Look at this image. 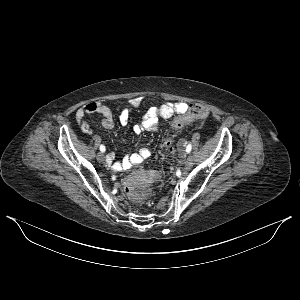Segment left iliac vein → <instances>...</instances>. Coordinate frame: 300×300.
Returning a JSON list of instances; mask_svg holds the SVG:
<instances>
[{
    "label": "left iliac vein",
    "mask_w": 300,
    "mask_h": 300,
    "mask_svg": "<svg viewBox=\"0 0 300 300\" xmlns=\"http://www.w3.org/2000/svg\"><path fill=\"white\" fill-rule=\"evenodd\" d=\"M193 165V158L192 156L188 155L186 156V159H185V169L188 170L192 167Z\"/></svg>",
    "instance_id": "left-iliac-vein-1"
}]
</instances>
